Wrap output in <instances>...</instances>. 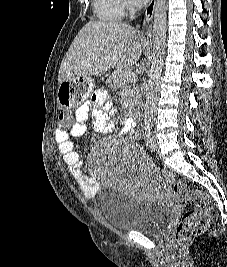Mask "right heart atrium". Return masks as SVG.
Masks as SVG:
<instances>
[{
  "instance_id": "obj_1",
  "label": "right heart atrium",
  "mask_w": 227,
  "mask_h": 267,
  "mask_svg": "<svg viewBox=\"0 0 227 267\" xmlns=\"http://www.w3.org/2000/svg\"><path fill=\"white\" fill-rule=\"evenodd\" d=\"M124 7L131 9L132 8V0H122Z\"/></svg>"
}]
</instances>
